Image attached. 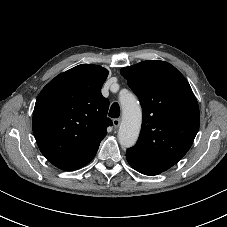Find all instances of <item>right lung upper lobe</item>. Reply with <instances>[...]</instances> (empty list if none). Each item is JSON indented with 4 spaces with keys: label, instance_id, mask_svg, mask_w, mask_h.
Returning <instances> with one entry per match:
<instances>
[{
    "label": "right lung upper lobe",
    "instance_id": "obj_1",
    "mask_svg": "<svg viewBox=\"0 0 227 227\" xmlns=\"http://www.w3.org/2000/svg\"><path fill=\"white\" fill-rule=\"evenodd\" d=\"M108 70L81 64L50 81L37 97L32 128L41 153L65 171L89 163L112 125L101 94Z\"/></svg>",
    "mask_w": 227,
    "mask_h": 227
}]
</instances>
